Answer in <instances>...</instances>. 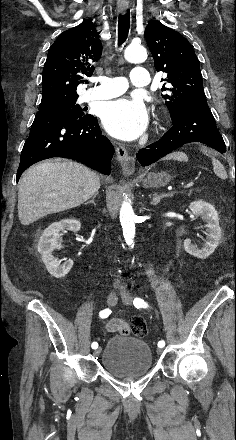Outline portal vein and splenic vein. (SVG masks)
Instances as JSON below:
<instances>
[{
    "label": "portal vein and splenic vein",
    "instance_id": "18ae733b",
    "mask_svg": "<svg viewBox=\"0 0 236 440\" xmlns=\"http://www.w3.org/2000/svg\"><path fill=\"white\" fill-rule=\"evenodd\" d=\"M194 185V183L193 182H189L188 184H186L185 186H184V188L186 189V188H190V187H192Z\"/></svg>",
    "mask_w": 236,
    "mask_h": 440
}]
</instances>
